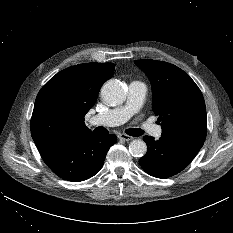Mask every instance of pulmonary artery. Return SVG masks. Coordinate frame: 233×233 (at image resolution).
<instances>
[{
    "mask_svg": "<svg viewBox=\"0 0 233 233\" xmlns=\"http://www.w3.org/2000/svg\"><path fill=\"white\" fill-rule=\"evenodd\" d=\"M146 94L147 88L143 82H131L128 86V95L125 104L93 116L90 119L91 123L103 126H116L125 123L139 111L144 103ZM142 127L154 137H160L162 134V129L151 123L145 122Z\"/></svg>",
    "mask_w": 233,
    "mask_h": 233,
    "instance_id": "e3ab8cb5",
    "label": "pulmonary artery"
}]
</instances>
